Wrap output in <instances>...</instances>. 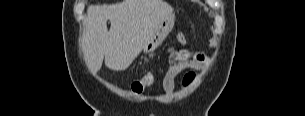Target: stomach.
Returning <instances> with one entry per match:
<instances>
[{
  "mask_svg": "<svg viewBox=\"0 0 305 116\" xmlns=\"http://www.w3.org/2000/svg\"><path fill=\"white\" fill-rule=\"evenodd\" d=\"M175 16L173 14L165 17L158 25L155 33L144 45V53H151L165 40L174 27Z\"/></svg>",
  "mask_w": 305,
  "mask_h": 116,
  "instance_id": "0dacf381",
  "label": "stomach"
}]
</instances>
